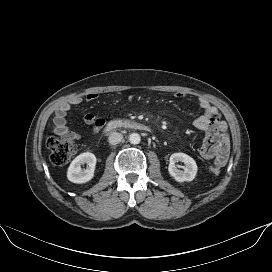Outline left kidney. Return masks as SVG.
Masks as SVG:
<instances>
[{"mask_svg":"<svg viewBox=\"0 0 272 272\" xmlns=\"http://www.w3.org/2000/svg\"><path fill=\"white\" fill-rule=\"evenodd\" d=\"M183 162L185 164L183 170H179L175 163ZM197 164L195 160L185 153H174L170 156L168 167L169 175L177 182L192 181L197 173Z\"/></svg>","mask_w":272,"mask_h":272,"instance_id":"5707ae66","label":"left kidney"}]
</instances>
